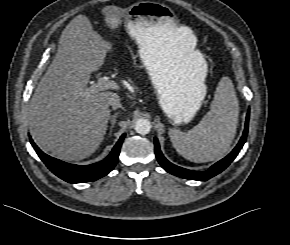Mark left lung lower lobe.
I'll use <instances>...</instances> for the list:
<instances>
[{"instance_id":"0a47b994","label":"left lung lower lobe","mask_w":290,"mask_h":245,"mask_svg":"<svg viewBox=\"0 0 290 245\" xmlns=\"http://www.w3.org/2000/svg\"><path fill=\"white\" fill-rule=\"evenodd\" d=\"M248 121H249V116L247 115L246 117V125H245V130L243 133L242 138L240 139L238 145L234 148V150L226 156L224 159L220 160L216 164H214L208 171L206 172H196V171H190L181 167H178L172 163H170L162 154L159 148V143L158 140L155 138V145H156V156L157 159L160 163V165L168 172L171 174H174L179 177L187 178V179H193V180H207L221 171H223L232 161L233 159L237 156L239 153L240 149L244 145L246 141V135L248 131Z\"/></svg>"}]
</instances>
